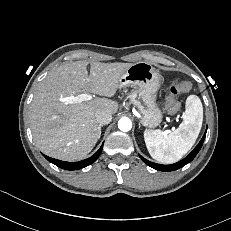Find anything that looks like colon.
<instances>
[{"label":"colon","instance_id":"colon-1","mask_svg":"<svg viewBox=\"0 0 231 231\" xmlns=\"http://www.w3.org/2000/svg\"><path fill=\"white\" fill-rule=\"evenodd\" d=\"M191 89V84L187 81L174 82L169 89V96L167 99L168 111L174 113L180 109V103L176 100L179 93L188 92Z\"/></svg>","mask_w":231,"mask_h":231}]
</instances>
